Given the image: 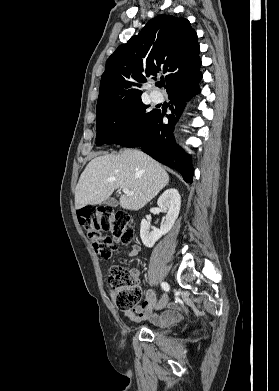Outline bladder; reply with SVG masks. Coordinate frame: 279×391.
Returning <instances> with one entry per match:
<instances>
[{
    "label": "bladder",
    "mask_w": 279,
    "mask_h": 391,
    "mask_svg": "<svg viewBox=\"0 0 279 391\" xmlns=\"http://www.w3.org/2000/svg\"><path fill=\"white\" fill-rule=\"evenodd\" d=\"M162 332L161 331H159V330H153V334H155V335H158V334H161Z\"/></svg>",
    "instance_id": "bladder-1"
}]
</instances>
